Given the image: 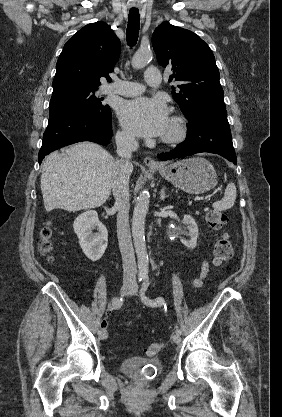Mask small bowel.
<instances>
[{"instance_id": "obj_1", "label": "small bowel", "mask_w": 282, "mask_h": 417, "mask_svg": "<svg viewBox=\"0 0 282 417\" xmlns=\"http://www.w3.org/2000/svg\"><path fill=\"white\" fill-rule=\"evenodd\" d=\"M209 273V263L207 260H203L200 266V271L198 276L193 280V287L200 288ZM103 327L107 326V323L104 321L102 324Z\"/></svg>"}]
</instances>
